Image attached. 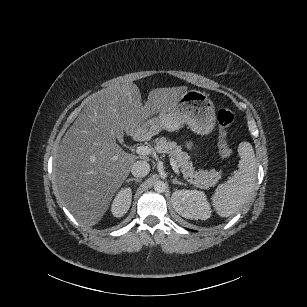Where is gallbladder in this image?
Here are the masks:
<instances>
[{"mask_svg": "<svg viewBox=\"0 0 307 307\" xmlns=\"http://www.w3.org/2000/svg\"><path fill=\"white\" fill-rule=\"evenodd\" d=\"M111 128L114 132V137L118 142H121L123 140V136H124V130L122 125L119 124V122L114 121L111 124Z\"/></svg>", "mask_w": 307, "mask_h": 307, "instance_id": "1", "label": "gallbladder"}]
</instances>
